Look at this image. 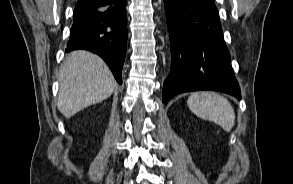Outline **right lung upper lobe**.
<instances>
[{
  "label": "right lung upper lobe",
  "mask_w": 293,
  "mask_h": 184,
  "mask_svg": "<svg viewBox=\"0 0 293 184\" xmlns=\"http://www.w3.org/2000/svg\"><path fill=\"white\" fill-rule=\"evenodd\" d=\"M107 1H110V0H78L77 5L86 4V5L95 6V7H99L100 5L101 6L111 5Z\"/></svg>",
  "instance_id": "right-lung-upper-lobe-1"
}]
</instances>
